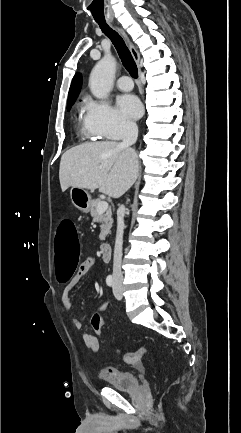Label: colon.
Returning a JSON list of instances; mask_svg holds the SVG:
<instances>
[{"instance_id": "colon-1", "label": "colon", "mask_w": 241, "mask_h": 433, "mask_svg": "<svg viewBox=\"0 0 241 433\" xmlns=\"http://www.w3.org/2000/svg\"><path fill=\"white\" fill-rule=\"evenodd\" d=\"M78 228L75 220H60L59 225H54V230L51 232L53 258L55 261L54 267L57 270V279L61 283H66L70 280L73 270H76V265L79 262V243L77 238ZM102 318L98 314H94L89 320L93 328L99 332ZM93 347L94 342H90ZM117 353L121 355L124 362L132 365H140L142 357L148 353L146 347H141L135 352L126 353L121 349H117ZM110 374V369L104 371Z\"/></svg>"}]
</instances>
